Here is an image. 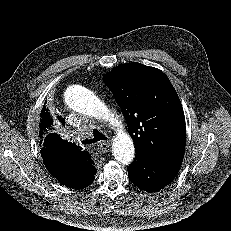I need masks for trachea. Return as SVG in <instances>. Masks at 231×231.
<instances>
[{
	"instance_id": "1",
	"label": "trachea",
	"mask_w": 231,
	"mask_h": 231,
	"mask_svg": "<svg viewBox=\"0 0 231 231\" xmlns=\"http://www.w3.org/2000/svg\"><path fill=\"white\" fill-rule=\"evenodd\" d=\"M93 137L91 139H85L83 141L84 144H92V143H96L98 141H102V140H106L107 137L102 134L100 131L94 129L92 131Z\"/></svg>"
}]
</instances>
